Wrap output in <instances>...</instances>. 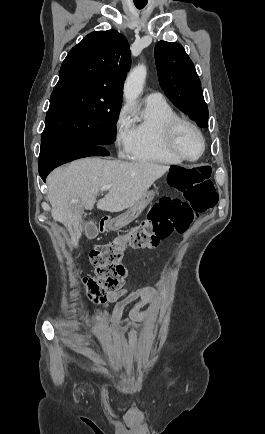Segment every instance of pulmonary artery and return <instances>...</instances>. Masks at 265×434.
<instances>
[{
	"label": "pulmonary artery",
	"instance_id": "1",
	"mask_svg": "<svg viewBox=\"0 0 265 434\" xmlns=\"http://www.w3.org/2000/svg\"><path fill=\"white\" fill-rule=\"evenodd\" d=\"M162 98L161 91H150L147 96L148 103H159Z\"/></svg>",
	"mask_w": 265,
	"mask_h": 434
}]
</instances>
